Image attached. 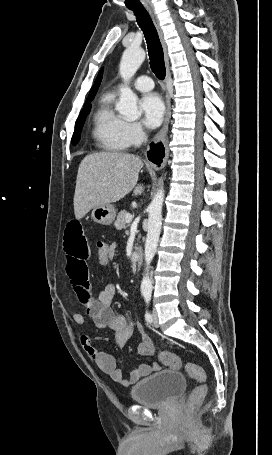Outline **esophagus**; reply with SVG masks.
Returning a JSON list of instances; mask_svg holds the SVG:
<instances>
[{
	"instance_id": "esophagus-1",
	"label": "esophagus",
	"mask_w": 272,
	"mask_h": 455,
	"mask_svg": "<svg viewBox=\"0 0 272 455\" xmlns=\"http://www.w3.org/2000/svg\"><path fill=\"white\" fill-rule=\"evenodd\" d=\"M145 8L150 14L154 25L157 29V32L159 34L161 43L163 45L164 51H165V60H166V67H167V77H166V82L169 79L170 76V69H169V60L167 56V49H166V44L164 41L163 37V32L159 24L158 17L155 13V10L152 6V4H145ZM171 116V102H170V97L167 94L166 98V116L164 120V125L161 128V130L155 135V137L152 140L151 145L149 146V152L150 156L148 157V161L153 169L159 170L162 169L167 162L168 159V147H167V132H168V125H169V120ZM163 142L164 145L161 143ZM165 146V148H164Z\"/></svg>"
}]
</instances>
